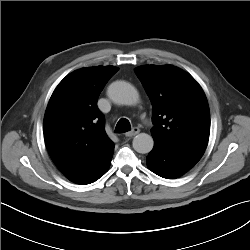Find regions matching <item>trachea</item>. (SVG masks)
<instances>
[{
	"label": "trachea",
	"instance_id": "3493384b",
	"mask_svg": "<svg viewBox=\"0 0 250 250\" xmlns=\"http://www.w3.org/2000/svg\"><path fill=\"white\" fill-rule=\"evenodd\" d=\"M131 130L130 122L125 119L121 118L115 128V133H125Z\"/></svg>",
	"mask_w": 250,
	"mask_h": 250
}]
</instances>
